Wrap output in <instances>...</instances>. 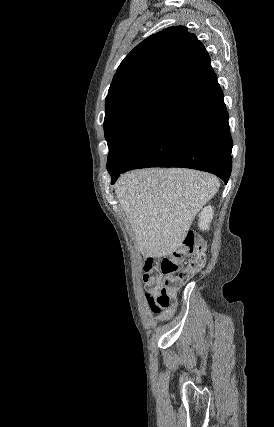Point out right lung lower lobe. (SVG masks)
Wrapping results in <instances>:
<instances>
[{
  "label": "right lung lower lobe",
  "instance_id": "right-lung-lower-lobe-1",
  "mask_svg": "<svg viewBox=\"0 0 274 427\" xmlns=\"http://www.w3.org/2000/svg\"><path fill=\"white\" fill-rule=\"evenodd\" d=\"M232 139L223 93L215 77L178 99L125 164L107 166L113 184L120 173L145 167H184L220 177L232 168Z\"/></svg>",
  "mask_w": 274,
  "mask_h": 427
}]
</instances>
